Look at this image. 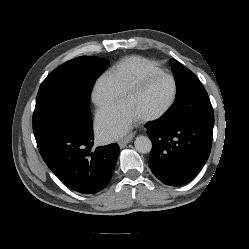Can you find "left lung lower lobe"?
<instances>
[{
	"instance_id": "0a47b994",
	"label": "left lung lower lobe",
	"mask_w": 249,
	"mask_h": 249,
	"mask_svg": "<svg viewBox=\"0 0 249 249\" xmlns=\"http://www.w3.org/2000/svg\"><path fill=\"white\" fill-rule=\"evenodd\" d=\"M213 126L214 116L180 124L160 119L146 124L152 141L149 165L153 174L170 186L190 182L209 157Z\"/></svg>"
}]
</instances>
